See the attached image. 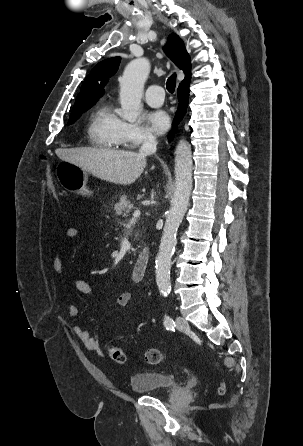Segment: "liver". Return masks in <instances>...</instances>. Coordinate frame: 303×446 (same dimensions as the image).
<instances>
[{
  "label": "liver",
  "mask_w": 303,
  "mask_h": 446,
  "mask_svg": "<svg viewBox=\"0 0 303 446\" xmlns=\"http://www.w3.org/2000/svg\"><path fill=\"white\" fill-rule=\"evenodd\" d=\"M56 154L101 180L121 185L134 183L147 163L140 153L106 148L57 149Z\"/></svg>",
  "instance_id": "liver-1"
}]
</instances>
